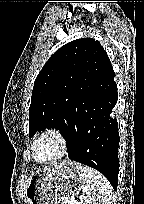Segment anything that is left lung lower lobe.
I'll return each instance as SVG.
<instances>
[{
  "label": "left lung lower lobe",
  "instance_id": "1",
  "mask_svg": "<svg viewBox=\"0 0 144 204\" xmlns=\"http://www.w3.org/2000/svg\"><path fill=\"white\" fill-rule=\"evenodd\" d=\"M114 77L110 62L96 70L86 91V103L76 131L66 141L71 160L95 168L117 190L120 138L113 114L118 100Z\"/></svg>",
  "mask_w": 144,
  "mask_h": 204
}]
</instances>
